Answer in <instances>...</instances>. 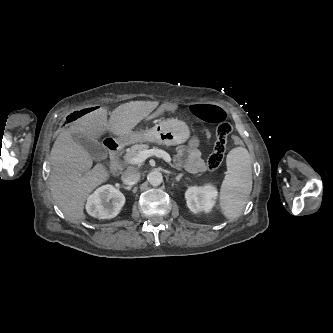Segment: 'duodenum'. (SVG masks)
I'll list each match as a JSON object with an SVG mask.
<instances>
[{
	"mask_svg": "<svg viewBox=\"0 0 333 333\" xmlns=\"http://www.w3.org/2000/svg\"><path fill=\"white\" fill-rule=\"evenodd\" d=\"M107 148L109 150L110 157L113 161L112 171H113V173H118L121 170V166L119 165V163L117 161L119 144L114 141H108Z\"/></svg>",
	"mask_w": 333,
	"mask_h": 333,
	"instance_id": "1",
	"label": "duodenum"
}]
</instances>
